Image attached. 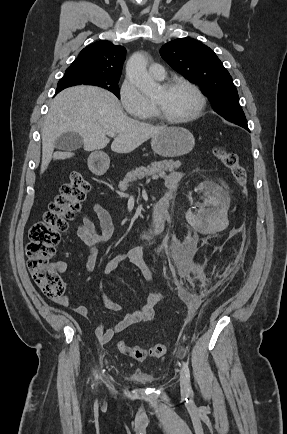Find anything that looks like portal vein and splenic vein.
<instances>
[{"label":"portal vein and splenic vein","mask_w":287,"mask_h":434,"mask_svg":"<svg viewBox=\"0 0 287 434\" xmlns=\"http://www.w3.org/2000/svg\"><path fill=\"white\" fill-rule=\"evenodd\" d=\"M107 135L114 137L116 134L114 132H107Z\"/></svg>","instance_id":"portal-vein-and-splenic-vein-1"}]
</instances>
